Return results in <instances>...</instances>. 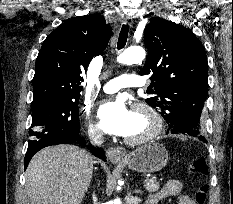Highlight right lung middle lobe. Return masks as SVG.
Segmentation results:
<instances>
[{
	"instance_id": "obj_1",
	"label": "right lung middle lobe",
	"mask_w": 233,
	"mask_h": 204,
	"mask_svg": "<svg viewBox=\"0 0 233 204\" xmlns=\"http://www.w3.org/2000/svg\"><path fill=\"white\" fill-rule=\"evenodd\" d=\"M79 99L56 100L32 105L28 151L38 150L62 134H79Z\"/></svg>"
}]
</instances>
